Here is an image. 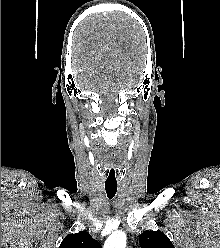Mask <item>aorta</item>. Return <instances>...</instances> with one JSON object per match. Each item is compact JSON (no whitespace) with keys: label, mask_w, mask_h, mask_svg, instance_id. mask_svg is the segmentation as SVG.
I'll list each match as a JSON object with an SVG mask.
<instances>
[{"label":"aorta","mask_w":220,"mask_h":248,"mask_svg":"<svg viewBox=\"0 0 220 248\" xmlns=\"http://www.w3.org/2000/svg\"><path fill=\"white\" fill-rule=\"evenodd\" d=\"M126 240L127 237L124 232H114L107 238L103 248H125Z\"/></svg>","instance_id":"aorta-1"}]
</instances>
